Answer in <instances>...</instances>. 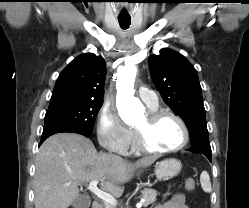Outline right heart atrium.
<instances>
[{
  "label": "right heart atrium",
  "instance_id": "1",
  "mask_svg": "<svg viewBox=\"0 0 249 208\" xmlns=\"http://www.w3.org/2000/svg\"><path fill=\"white\" fill-rule=\"evenodd\" d=\"M97 138L104 148L126 155L131 144V131L122 122L116 110L103 105L97 117Z\"/></svg>",
  "mask_w": 249,
  "mask_h": 208
}]
</instances>
